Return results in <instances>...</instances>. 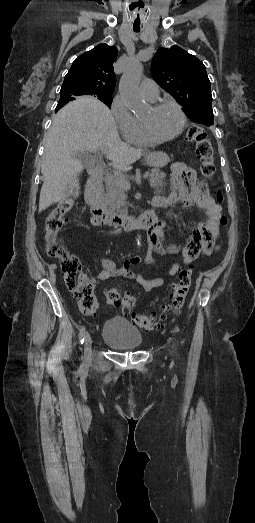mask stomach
Listing matches in <instances>:
<instances>
[{
  "mask_svg": "<svg viewBox=\"0 0 255 523\" xmlns=\"http://www.w3.org/2000/svg\"><path fill=\"white\" fill-rule=\"evenodd\" d=\"M145 160L151 168H163L166 162L170 160V153L168 151L153 152V154H147Z\"/></svg>",
  "mask_w": 255,
  "mask_h": 523,
  "instance_id": "stomach-1",
  "label": "stomach"
}]
</instances>
